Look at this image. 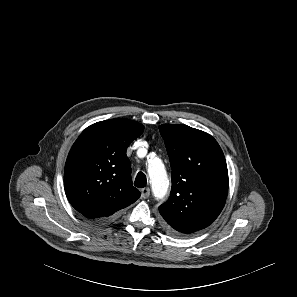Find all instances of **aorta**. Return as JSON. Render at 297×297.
<instances>
[{
	"label": "aorta",
	"mask_w": 297,
	"mask_h": 297,
	"mask_svg": "<svg viewBox=\"0 0 297 297\" xmlns=\"http://www.w3.org/2000/svg\"><path fill=\"white\" fill-rule=\"evenodd\" d=\"M148 174L154 196L156 198H163L167 194L169 180L160 159L154 158L149 161Z\"/></svg>",
	"instance_id": "762f6f07"
}]
</instances>
